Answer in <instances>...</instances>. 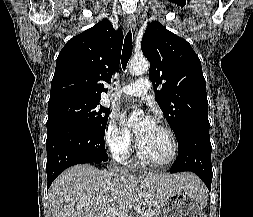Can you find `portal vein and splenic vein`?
Here are the masks:
<instances>
[{
	"label": "portal vein and splenic vein",
	"mask_w": 253,
	"mask_h": 217,
	"mask_svg": "<svg viewBox=\"0 0 253 217\" xmlns=\"http://www.w3.org/2000/svg\"><path fill=\"white\" fill-rule=\"evenodd\" d=\"M125 217H129V216H125ZM145 217H149V215H148V214H146V215H145Z\"/></svg>",
	"instance_id": "portal-vein-and-splenic-vein-1"
}]
</instances>
